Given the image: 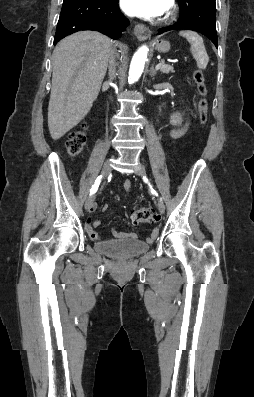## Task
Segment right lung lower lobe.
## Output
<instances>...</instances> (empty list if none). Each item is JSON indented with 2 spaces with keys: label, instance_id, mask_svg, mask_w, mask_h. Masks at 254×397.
I'll list each match as a JSON object with an SVG mask.
<instances>
[{
  "label": "right lung lower lobe",
  "instance_id": "1",
  "mask_svg": "<svg viewBox=\"0 0 254 397\" xmlns=\"http://www.w3.org/2000/svg\"><path fill=\"white\" fill-rule=\"evenodd\" d=\"M118 0H64L54 45L81 30H94L113 39L120 37L129 21L120 12Z\"/></svg>",
  "mask_w": 254,
  "mask_h": 397
}]
</instances>
